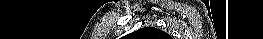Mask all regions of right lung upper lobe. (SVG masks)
I'll list each match as a JSON object with an SVG mask.
<instances>
[{"instance_id":"right-lung-upper-lobe-1","label":"right lung upper lobe","mask_w":263,"mask_h":39,"mask_svg":"<svg viewBox=\"0 0 263 39\" xmlns=\"http://www.w3.org/2000/svg\"><path fill=\"white\" fill-rule=\"evenodd\" d=\"M135 35L143 39H158V38L171 39V37L167 33L155 27H146V28L139 29L132 33V36H135Z\"/></svg>"}]
</instances>
